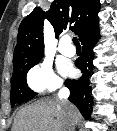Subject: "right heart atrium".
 <instances>
[{"instance_id":"right-heart-atrium-1","label":"right heart atrium","mask_w":117,"mask_h":131,"mask_svg":"<svg viewBox=\"0 0 117 131\" xmlns=\"http://www.w3.org/2000/svg\"><path fill=\"white\" fill-rule=\"evenodd\" d=\"M27 83L33 91L38 93L53 91L61 86L60 79L47 63L34 66L27 74Z\"/></svg>"}]
</instances>
